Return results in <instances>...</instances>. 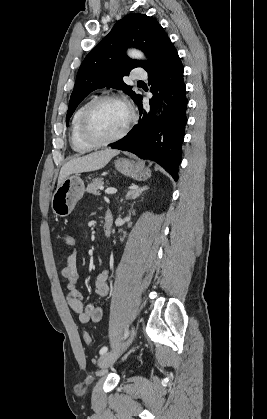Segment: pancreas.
Wrapping results in <instances>:
<instances>
[{
    "label": "pancreas",
    "instance_id": "pancreas-1",
    "mask_svg": "<svg viewBox=\"0 0 267 419\" xmlns=\"http://www.w3.org/2000/svg\"><path fill=\"white\" fill-rule=\"evenodd\" d=\"M103 184L104 182L101 178H95L87 185L86 191L93 195H100L99 189Z\"/></svg>",
    "mask_w": 267,
    "mask_h": 419
}]
</instances>
